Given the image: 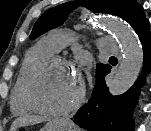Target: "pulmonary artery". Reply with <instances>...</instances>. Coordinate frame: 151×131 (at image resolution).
<instances>
[{
  "label": "pulmonary artery",
  "instance_id": "obj_1",
  "mask_svg": "<svg viewBox=\"0 0 151 131\" xmlns=\"http://www.w3.org/2000/svg\"><path fill=\"white\" fill-rule=\"evenodd\" d=\"M74 38V35L68 31L53 30L47 35L46 41L55 51H59L73 42ZM98 45L103 51L108 53H116L118 50L115 41L110 37H101L98 40Z\"/></svg>",
  "mask_w": 151,
  "mask_h": 131
}]
</instances>
